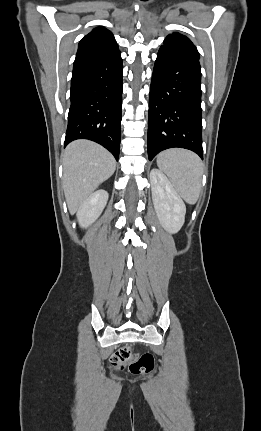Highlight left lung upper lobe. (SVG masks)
<instances>
[{"mask_svg": "<svg viewBox=\"0 0 261 431\" xmlns=\"http://www.w3.org/2000/svg\"><path fill=\"white\" fill-rule=\"evenodd\" d=\"M164 46L191 54L199 58V53L193 43L184 35L173 33L166 37Z\"/></svg>", "mask_w": 261, "mask_h": 431, "instance_id": "1", "label": "left lung upper lobe"}]
</instances>
